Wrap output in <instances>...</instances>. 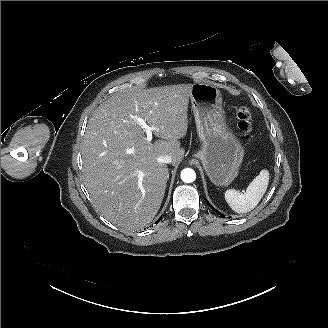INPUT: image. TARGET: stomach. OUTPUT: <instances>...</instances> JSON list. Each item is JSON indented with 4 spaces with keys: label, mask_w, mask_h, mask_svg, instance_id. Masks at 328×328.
<instances>
[{
    "label": "stomach",
    "mask_w": 328,
    "mask_h": 328,
    "mask_svg": "<svg viewBox=\"0 0 328 328\" xmlns=\"http://www.w3.org/2000/svg\"><path fill=\"white\" fill-rule=\"evenodd\" d=\"M190 99L201 142L197 157L213 184L228 186L238 175L244 149L225 122L220 90L211 82L194 83Z\"/></svg>",
    "instance_id": "1"
}]
</instances>
